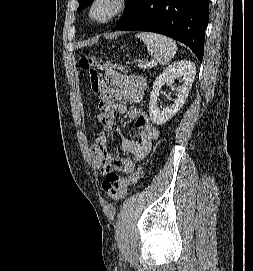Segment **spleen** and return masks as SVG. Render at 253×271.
<instances>
[{
  "label": "spleen",
  "instance_id": "1",
  "mask_svg": "<svg viewBox=\"0 0 253 271\" xmlns=\"http://www.w3.org/2000/svg\"><path fill=\"white\" fill-rule=\"evenodd\" d=\"M136 37L146 44L148 53L161 65H167L176 53L177 45L169 37L151 32H139Z\"/></svg>",
  "mask_w": 253,
  "mask_h": 271
}]
</instances>
